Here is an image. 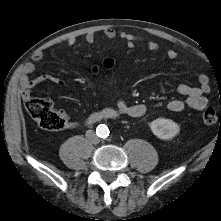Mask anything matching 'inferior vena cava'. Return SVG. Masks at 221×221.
I'll return each instance as SVG.
<instances>
[{
  "mask_svg": "<svg viewBox=\"0 0 221 221\" xmlns=\"http://www.w3.org/2000/svg\"><path fill=\"white\" fill-rule=\"evenodd\" d=\"M85 136L87 140L92 144H98L100 142L99 137L95 134L93 130H88Z\"/></svg>",
  "mask_w": 221,
  "mask_h": 221,
  "instance_id": "602c4592",
  "label": "inferior vena cava"
}]
</instances>
